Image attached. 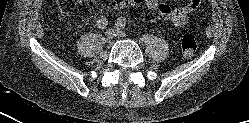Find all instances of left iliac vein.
<instances>
[{"mask_svg": "<svg viewBox=\"0 0 249 123\" xmlns=\"http://www.w3.org/2000/svg\"><path fill=\"white\" fill-rule=\"evenodd\" d=\"M114 33H115V36H117V37H121V38L126 37L125 33L123 31H121L120 29L114 30Z\"/></svg>", "mask_w": 249, "mask_h": 123, "instance_id": "obj_1", "label": "left iliac vein"}]
</instances>
